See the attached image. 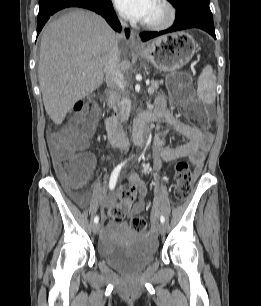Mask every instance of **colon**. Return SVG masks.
I'll return each mask as SVG.
<instances>
[{
  "label": "colon",
  "instance_id": "1",
  "mask_svg": "<svg viewBox=\"0 0 261 306\" xmlns=\"http://www.w3.org/2000/svg\"><path fill=\"white\" fill-rule=\"evenodd\" d=\"M168 86L173 102L184 108L188 120L197 126L205 125L207 117L194 105V93L189 79L175 74L169 77ZM97 120V106L94 103L84 102L75 111L70 124L55 139L61 161L59 175L61 180L70 187L83 184L89 176L90 159L81 152L94 137ZM175 179L174 197L177 201H184L191 194L193 180L190 165L186 161H179L176 164ZM135 197L136 191L131 185H122L119 201L109 209L110 219L121 221L126 218L130 214ZM130 225L139 234L148 236L152 233L150 226L141 216L132 217Z\"/></svg>",
  "mask_w": 261,
  "mask_h": 306
}]
</instances>
